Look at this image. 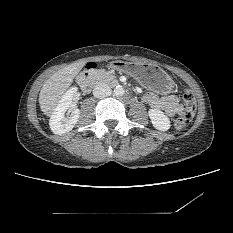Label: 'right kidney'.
Returning <instances> with one entry per match:
<instances>
[{"label":"right kidney","instance_id":"ca27d5eb","mask_svg":"<svg viewBox=\"0 0 233 233\" xmlns=\"http://www.w3.org/2000/svg\"><path fill=\"white\" fill-rule=\"evenodd\" d=\"M76 91V87H73L70 90H68L62 96L53 114L51 115L49 125L51 131L54 134L61 135L66 132H69L74 128L75 124L77 123L80 115V110L74 107L72 102L73 95ZM69 109L72 110L71 116L66 117L65 113Z\"/></svg>","mask_w":233,"mask_h":233}]
</instances>
